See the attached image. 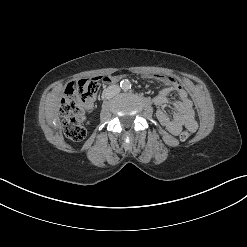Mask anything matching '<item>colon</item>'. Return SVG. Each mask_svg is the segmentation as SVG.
Returning <instances> with one entry per match:
<instances>
[{"instance_id":"colon-1","label":"colon","mask_w":247,"mask_h":247,"mask_svg":"<svg viewBox=\"0 0 247 247\" xmlns=\"http://www.w3.org/2000/svg\"><path fill=\"white\" fill-rule=\"evenodd\" d=\"M100 88L99 78H85L76 83H69L59 104V111L63 121L66 136L72 141H81L86 132L83 128L84 108L94 100ZM190 137V131L184 130L180 134L182 141Z\"/></svg>"}]
</instances>
